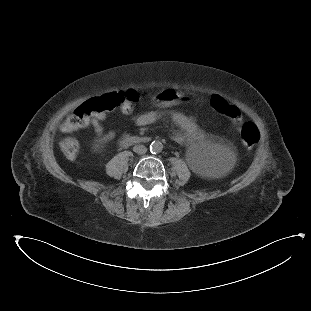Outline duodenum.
Here are the masks:
<instances>
[{"mask_svg":"<svg viewBox=\"0 0 311 311\" xmlns=\"http://www.w3.org/2000/svg\"><path fill=\"white\" fill-rule=\"evenodd\" d=\"M149 139L146 137H140V136H133V135H128L124 136L121 140L120 143L124 144H144L148 143Z\"/></svg>","mask_w":311,"mask_h":311,"instance_id":"obj_1","label":"duodenum"}]
</instances>
